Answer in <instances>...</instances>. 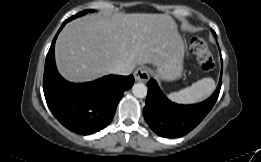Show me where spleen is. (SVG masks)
<instances>
[{
    "instance_id": "spleen-1",
    "label": "spleen",
    "mask_w": 261,
    "mask_h": 162,
    "mask_svg": "<svg viewBox=\"0 0 261 162\" xmlns=\"http://www.w3.org/2000/svg\"><path fill=\"white\" fill-rule=\"evenodd\" d=\"M214 90V80L212 78H203L189 87L168 94V98L176 103L191 104L206 99Z\"/></svg>"
}]
</instances>
